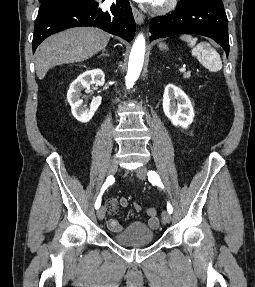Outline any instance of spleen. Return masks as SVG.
Masks as SVG:
<instances>
[{"label": "spleen", "mask_w": 255, "mask_h": 287, "mask_svg": "<svg viewBox=\"0 0 255 287\" xmlns=\"http://www.w3.org/2000/svg\"><path fill=\"white\" fill-rule=\"evenodd\" d=\"M180 40L183 42H188L189 46L193 48L197 42V38H192V36H180ZM193 56H199L202 54V64L203 66H209L211 70H221L222 62L220 60L219 54H217L216 50L210 46V44H199L196 48L192 50Z\"/></svg>", "instance_id": "3e777b00"}]
</instances>
